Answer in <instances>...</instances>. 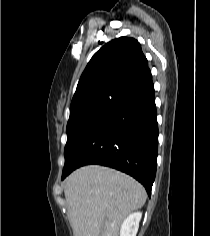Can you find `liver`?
<instances>
[{
  "mask_svg": "<svg viewBox=\"0 0 210 236\" xmlns=\"http://www.w3.org/2000/svg\"><path fill=\"white\" fill-rule=\"evenodd\" d=\"M64 193L74 236H118L122 221L146 201L132 177L98 165L69 175Z\"/></svg>",
  "mask_w": 210,
  "mask_h": 236,
  "instance_id": "1",
  "label": "liver"
}]
</instances>
